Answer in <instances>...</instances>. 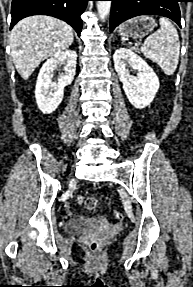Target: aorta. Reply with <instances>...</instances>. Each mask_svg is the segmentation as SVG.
Segmentation results:
<instances>
[{"label":"aorta","mask_w":193,"mask_h":287,"mask_svg":"<svg viewBox=\"0 0 193 287\" xmlns=\"http://www.w3.org/2000/svg\"><path fill=\"white\" fill-rule=\"evenodd\" d=\"M111 1H97V11L101 20H105L110 13Z\"/></svg>","instance_id":"aorta-1"}]
</instances>
